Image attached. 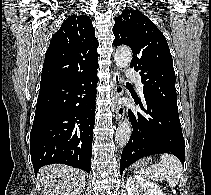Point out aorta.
<instances>
[{
	"label": "aorta",
	"mask_w": 211,
	"mask_h": 195,
	"mask_svg": "<svg viewBox=\"0 0 211 195\" xmlns=\"http://www.w3.org/2000/svg\"><path fill=\"white\" fill-rule=\"evenodd\" d=\"M116 65L120 69L129 67L132 60V52L128 47H119L114 55ZM131 127L128 120H123L117 127L115 138L119 147H124L129 141Z\"/></svg>",
	"instance_id": "1"
}]
</instances>
